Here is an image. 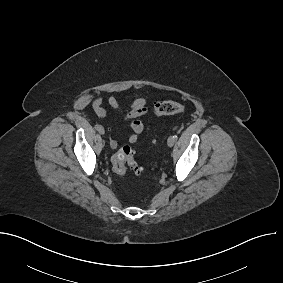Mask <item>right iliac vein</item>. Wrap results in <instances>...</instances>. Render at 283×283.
<instances>
[{"label":"right iliac vein","mask_w":283,"mask_h":283,"mask_svg":"<svg viewBox=\"0 0 283 283\" xmlns=\"http://www.w3.org/2000/svg\"><path fill=\"white\" fill-rule=\"evenodd\" d=\"M98 131H99V133H100L101 135H104V133H105V130H104L103 127H101Z\"/></svg>","instance_id":"right-iliac-vein-1"}]
</instances>
